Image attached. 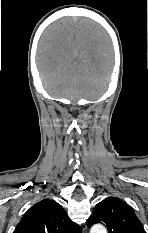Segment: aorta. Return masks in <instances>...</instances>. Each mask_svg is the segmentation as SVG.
I'll list each match as a JSON object with an SVG mask.
<instances>
[{
	"instance_id": "obj_1",
	"label": "aorta",
	"mask_w": 148,
	"mask_h": 233,
	"mask_svg": "<svg viewBox=\"0 0 148 233\" xmlns=\"http://www.w3.org/2000/svg\"><path fill=\"white\" fill-rule=\"evenodd\" d=\"M90 233H107V230L103 225L95 224L92 226Z\"/></svg>"
}]
</instances>
